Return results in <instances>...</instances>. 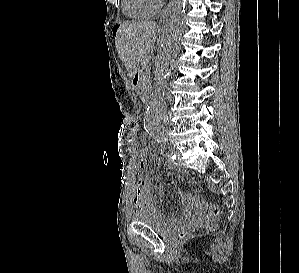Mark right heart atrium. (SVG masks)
I'll return each mask as SVG.
<instances>
[{"label": "right heart atrium", "instance_id": "right-heart-atrium-1", "mask_svg": "<svg viewBox=\"0 0 299 273\" xmlns=\"http://www.w3.org/2000/svg\"><path fill=\"white\" fill-rule=\"evenodd\" d=\"M153 7L158 5L159 0H148Z\"/></svg>", "mask_w": 299, "mask_h": 273}]
</instances>
